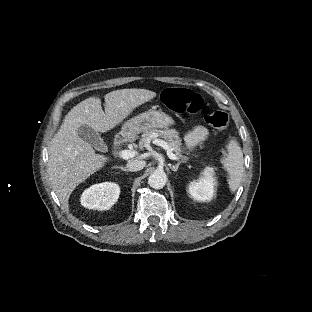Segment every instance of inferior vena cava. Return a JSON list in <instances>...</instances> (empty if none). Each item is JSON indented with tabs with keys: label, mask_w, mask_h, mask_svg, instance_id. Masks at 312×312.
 <instances>
[{
	"label": "inferior vena cava",
	"mask_w": 312,
	"mask_h": 312,
	"mask_svg": "<svg viewBox=\"0 0 312 312\" xmlns=\"http://www.w3.org/2000/svg\"><path fill=\"white\" fill-rule=\"evenodd\" d=\"M146 165V162L143 160H133L127 163V169L129 171H140L142 170Z\"/></svg>",
	"instance_id": "inferior-vena-cava-1"
}]
</instances>
